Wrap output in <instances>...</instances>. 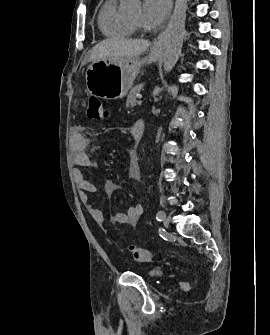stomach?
Returning a JSON list of instances; mask_svg holds the SVG:
<instances>
[{
  "label": "stomach",
  "mask_w": 270,
  "mask_h": 335,
  "mask_svg": "<svg viewBox=\"0 0 270 335\" xmlns=\"http://www.w3.org/2000/svg\"><path fill=\"white\" fill-rule=\"evenodd\" d=\"M162 54L161 48H151L146 58H114L98 60L88 66L85 74L86 88L91 96L103 100H118L127 96L133 82L140 74L144 64L157 62Z\"/></svg>",
  "instance_id": "1"
}]
</instances>
